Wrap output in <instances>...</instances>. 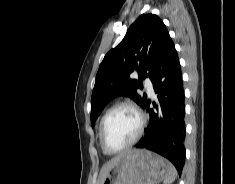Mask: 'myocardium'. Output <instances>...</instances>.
<instances>
[{
    "label": "myocardium",
    "instance_id": "1",
    "mask_svg": "<svg viewBox=\"0 0 235 184\" xmlns=\"http://www.w3.org/2000/svg\"><path fill=\"white\" fill-rule=\"evenodd\" d=\"M120 108H129V109L133 110L138 117L139 126H138V130H137L136 135L133 137V139L130 142H128L126 145H124L120 148L112 149V148L108 147V145L105 142V133H106V129H107L111 114ZM145 126H146V116L138 106H136L135 104H133L131 102H119V103L113 105L111 108H109L103 117L101 127H100V132H99L100 146L104 152H106L110 155L120 154L124 150L132 147L134 144L137 143V141L143 135V132L145 130Z\"/></svg>",
    "mask_w": 235,
    "mask_h": 184
}]
</instances>
